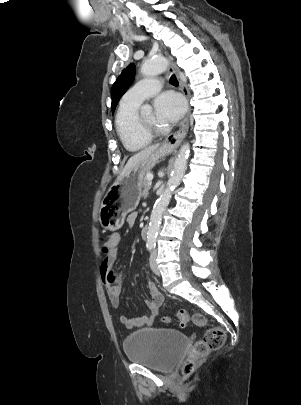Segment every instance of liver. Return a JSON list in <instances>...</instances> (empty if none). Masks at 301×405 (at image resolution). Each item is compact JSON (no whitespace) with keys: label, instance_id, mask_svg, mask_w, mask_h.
<instances>
[{"label":"liver","instance_id":"liver-1","mask_svg":"<svg viewBox=\"0 0 301 405\" xmlns=\"http://www.w3.org/2000/svg\"><path fill=\"white\" fill-rule=\"evenodd\" d=\"M159 147H160L159 144H155L133 155L126 163L120 175L117 177V180L122 179L134 166H136L139 162H141L142 160L150 156L152 153H154L157 149H159Z\"/></svg>","mask_w":301,"mask_h":405}]
</instances>
